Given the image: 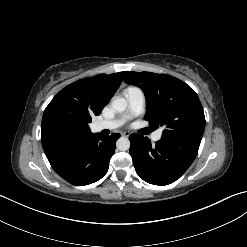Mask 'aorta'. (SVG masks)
Listing matches in <instances>:
<instances>
[{
    "label": "aorta",
    "instance_id": "762f6f07",
    "mask_svg": "<svg viewBox=\"0 0 247 247\" xmlns=\"http://www.w3.org/2000/svg\"><path fill=\"white\" fill-rule=\"evenodd\" d=\"M111 106L117 112H123L127 108V101L122 97L113 99ZM117 149L120 151H127L130 148V141L127 137H120L116 142Z\"/></svg>",
    "mask_w": 247,
    "mask_h": 247
}]
</instances>
